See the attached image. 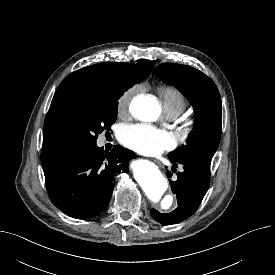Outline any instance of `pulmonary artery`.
Listing matches in <instances>:
<instances>
[{
	"mask_svg": "<svg viewBox=\"0 0 275 275\" xmlns=\"http://www.w3.org/2000/svg\"><path fill=\"white\" fill-rule=\"evenodd\" d=\"M166 116L169 119H175L178 116V114L174 112H169V113H166Z\"/></svg>",
	"mask_w": 275,
	"mask_h": 275,
	"instance_id": "1",
	"label": "pulmonary artery"
}]
</instances>
